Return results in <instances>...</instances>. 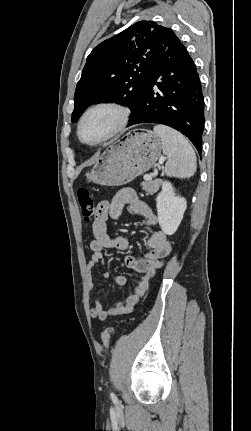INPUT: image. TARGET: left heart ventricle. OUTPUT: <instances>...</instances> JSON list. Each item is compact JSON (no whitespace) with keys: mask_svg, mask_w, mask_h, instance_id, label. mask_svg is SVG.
<instances>
[{"mask_svg":"<svg viewBox=\"0 0 251 431\" xmlns=\"http://www.w3.org/2000/svg\"><path fill=\"white\" fill-rule=\"evenodd\" d=\"M117 117V113L111 109L93 111L83 122L81 129L83 139L90 143L100 140L113 128Z\"/></svg>","mask_w":251,"mask_h":431,"instance_id":"obj_1","label":"left heart ventricle"}]
</instances>
